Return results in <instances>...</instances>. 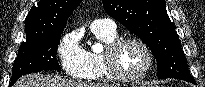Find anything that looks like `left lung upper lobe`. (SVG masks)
<instances>
[{"label": "left lung upper lobe", "instance_id": "left-lung-upper-lobe-1", "mask_svg": "<svg viewBox=\"0 0 205 87\" xmlns=\"http://www.w3.org/2000/svg\"><path fill=\"white\" fill-rule=\"evenodd\" d=\"M103 6L148 45L158 63V78L194 81L164 0H103Z\"/></svg>", "mask_w": 205, "mask_h": 87}]
</instances>
